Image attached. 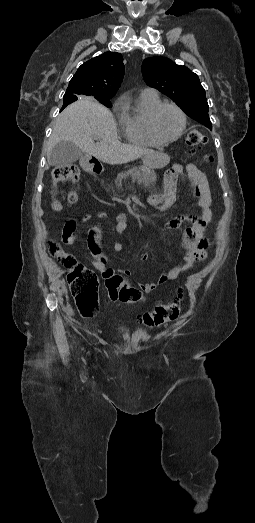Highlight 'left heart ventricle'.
I'll use <instances>...</instances> for the list:
<instances>
[{"label":"left heart ventricle","instance_id":"b2bd125f","mask_svg":"<svg viewBox=\"0 0 255 523\" xmlns=\"http://www.w3.org/2000/svg\"><path fill=\"white\" fill-rule=\"evenodd\" d=\"M182 125L180 114L173 107L162 108L155 118L157 134L169 139L177 135Z\"/></svg>","mask_w":255,"mask_h":523}]
</instances>
